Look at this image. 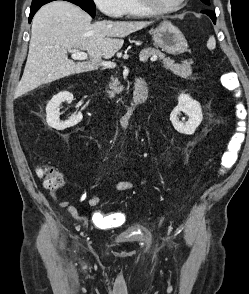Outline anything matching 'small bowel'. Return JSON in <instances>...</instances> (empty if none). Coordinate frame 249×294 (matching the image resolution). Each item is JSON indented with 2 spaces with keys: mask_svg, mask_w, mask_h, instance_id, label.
<instances>
[{
  "mask_svg": "<svg viewBox=\"0 0 249 294\" xmlns=\"http://www.w3.org/2000/svg\"><path fill=\"white\" fill-rule=\"evenodd\" d=\"M146 182L147 179H144L140 182L118 181L113 185V189L119 192L130 191L144 185ZM86 202L89 207L95 208L100 204V198L96 195H93L90 196ZM62 205L66 208L75 221L82 224L87 223L86 217L79 213L74 204L70 202H64ZM124 219V215L120 213L106 214L96 211L93 213L91 221L94 226L99 229H114L121 226L124 222Z\"/></svg>",
  "mask_w": 249,
  "mask_h": 294,
  "instance_id": "small-bowel-1",
  "label": "small bowel"
}]
</instances>
